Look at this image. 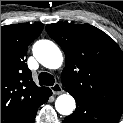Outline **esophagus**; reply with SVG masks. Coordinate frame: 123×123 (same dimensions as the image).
I'll return each mask as SVG.
<instances>
[{"instance_id": "34e87169", "label": "esophagus", "mask_w": 123, "mask_h": 123, "mask_svg": "<svg viewBox=\"0 0 123 123\" xmlns=\"http://www.w3.org/2000/svg\"><path fill=\"white\" fill-rule=\"evenodd\" d=\"M51 90L54 95H59L62 93V86L60 83L56 82L53 86H51Z\"/></svg>"}]
</instances>
